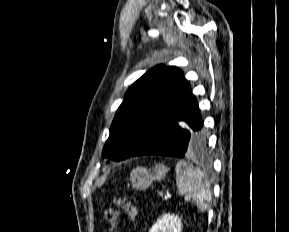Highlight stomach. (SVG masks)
I'll return each instance as SVG.
<instances>
[{
  "instance_id": "stomach-1",
  "label": "stomach",
  "mask_w": 289,
  "mask_h": 232,
  "mask_svg": "<svg viewBox=\"0 0 289 232\" xmlns=\"http://www.w3.org/2000/svg\"><path fill=\"white\" fill-rule=\"evenodd\" d=\"M167 172L168 168L162 164L149 170L144 167H136L130 174V182L135 189L145 190L152 184L153 180L164 179Z\"/></svg>"
}]
</instances>
